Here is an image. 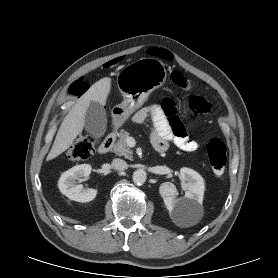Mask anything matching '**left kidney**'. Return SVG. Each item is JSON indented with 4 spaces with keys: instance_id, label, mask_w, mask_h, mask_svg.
I'll use <instances>...</instances> for the list:
<instances>
[{
    "instance_id": "1",
    "label": "left kidney",
    "mask_w": 278,
    "mask_h": 278,
    "mask_svg": "<svg viewBox=\"0 0 278 278\" xmlns=\"http://www.w3.org/2000/svg\"><path fill=\"white\" fill-rule=\"evenodd\" d=\"M181 178L186 189L185 196L178 198V191L171 182L162 183L159 192L170 215L177 220H186L202 210L204 180L190 168H181Z\"/></svg>"
}]
</instances>
